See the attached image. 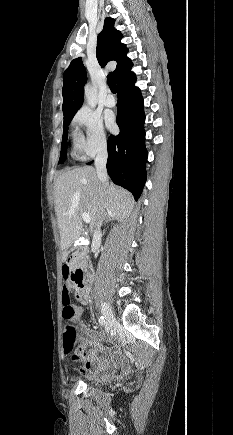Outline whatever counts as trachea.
Instances as JSON below:
<instances>
[{"label": "trachea", "mask_w": 233, "mask_h": 435, "mask_svg": "<svg viewBox=\"0 0 233 435\" xmlns=\"http://www.w3.org/2000/svg\"><path fill=\"white\" fill-rule=\"evenodd\" d=\"M107 84H108L110 90L112 91V93H116V91H117L116 80L112 74H109L107 76Z\"/></svg>", "instance_id": "1"}]
</instances>
